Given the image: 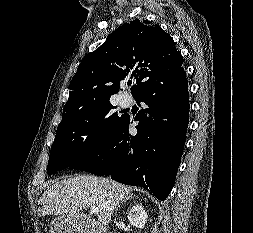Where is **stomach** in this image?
Here are the masks:
<instances>
[{
    "label": "stomach",
    "mask_w": 253,
    "mask_h": 233,
    "mask_svg": "<svg viewBox=\"0 0 253 233\" xmlns=\"http://www.w3.org/2000/svg\"><path fill=\"white\" fill-rule=\"evenodd\" d=\"M76 215H65L52 222L55 233H74L76 230Z\"/></svg>",
    "instance_id": "obj_1"
}]
</instances>
